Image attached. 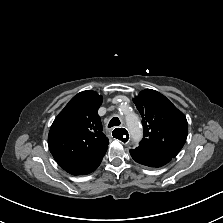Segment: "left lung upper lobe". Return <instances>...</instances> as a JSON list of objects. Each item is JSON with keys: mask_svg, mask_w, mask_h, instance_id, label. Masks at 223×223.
I'll return each instance as SVG.
<instances>
[{"mask_svg": "<svg viewBox=\"0 0 223 223\" xmlns=\"http://www.w3.org/2000/svg\"><path fill=\"white\" fill-rule=\"evenodd\" d=\"M142 116L144 136L140 147L175 157L187 138V120L161 93L146 89L134 99Z\"/></svg>", "mask_w": 223, "mask_h": 223, "instance_id": "1", "label": "left lung upper lobe"}]
</instances>
